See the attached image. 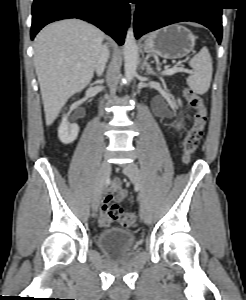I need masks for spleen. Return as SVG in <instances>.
Instances as JSON below:
<instances>
[{"mask_svg": "<svg viewBox=\"0 0 246 300\" xmlns=\"http://www.w3.org/2000/svg\"><path fill=\"white\" fill-rule=\"evenodd\" d=\"M189 65L194 73L187 78V84L190 89L200 95L205 94L212 80V58L207 49L203 47L190 61Z\"/></svg>", "mask_w": 246, "mask_h": 300, "instance_id": "3e777b00", "label": "spleen"}]
</instances>
